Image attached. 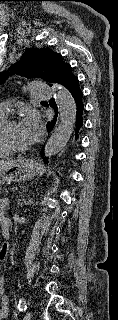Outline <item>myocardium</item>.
I'll use <instances>...</instances> for the list:
<instances>
[{"label":"myocardium","mask_w":118,"mask_h":320,"mask_svg":"<svg viewBox=\"0 0 118 320\" xmlns=\"http://www.w3.org/2000/svg\"><path fill=\"white\" fill-rule=\"evenodd\" d=\"M18 123L16 119L5 118L0 124V143L10 152L16 153H24L29 150V146L26 147H18L9 142L6 137L7 128L12 125Z\"/></svg>","instance_id":"obj_1"}]
</instances>
